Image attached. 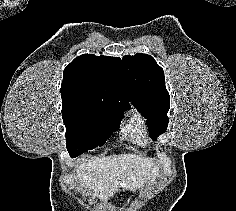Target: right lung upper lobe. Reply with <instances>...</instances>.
Instances as JSON below:
<instances>
[{"label":"right lung upper lobe","mask_w":236,"mask_h":211,"mask_svg":"<svg viewBox=\"0 0 236 211\" xmlns=\"http://www.w3.org/2000/svg\"><path fill=\"white\" fill-rule=\"evenodd\" d=\"M62 110H127L130 92L120 58L83 54L63 72Z\"/></svg>","instance_id":"cb5924a9"}]
</instances>
